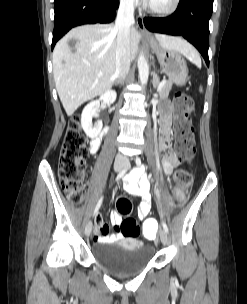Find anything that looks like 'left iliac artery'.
I'll return each instance as SVG.
<instances>
[{"label":"left iliac artery","mask_w":247,"mask_h":304,"mask_svg":"<svg viewBox=\"0 0 247 304\" xmlns=\"http://www.w3.org/2000/svg\"><path fill=\"white\" fill-rule=\"evenodd\" d=\"M136 164H137V166H140V165H141V160H140V158H138V157L136 158ZM162 225H163V229L168 233V232H169V229H168L167 224H166L165 222H163Z\"/></svg>","instance_id":"1"}]
</instances>
